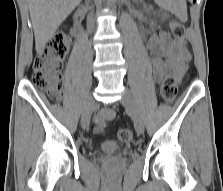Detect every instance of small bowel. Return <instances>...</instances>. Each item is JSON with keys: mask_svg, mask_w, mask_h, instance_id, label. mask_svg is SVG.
Here are the masks:
<instances>
[{"mask_svg": "<svg viewBox=\"0 0 223 191\" xmlns=\"http://www.w3.org/2000/svg\"><path fill=\"white\" fill-rule=\"evenodd\" d=\"M148 49L153 55L151 64L156 81H161L166 76H173L177 80L184 78L191 54L180 42L164 32H158L150 37ZM114 117L113 109L101 108L94 117L95 131L102 130Z\"/></svg>", "mask_w": 223, "mask_h": 191, "instance_id": "1", "label": "small bowel"}]
</instances>
